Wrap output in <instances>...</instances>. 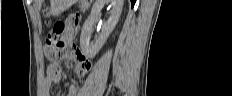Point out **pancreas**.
Here are the masks:
<instances>
[{
    "mask_svg": "<svg viewBox=\"0 0 232 96\" xmlns=\"http://www.w3.org/2000/svg\"><path fill=\"white\" fill-rule=\"evenodd\" d=\"M79 8L82 12H85L88 8V3L82 2L81 5H79Z\"/></svg>",
    "mask_w": 232,
    "mask_h": 96,
    "instance_id": "cf45deb5",
    "label": "pancreas"
}]
</instances>
